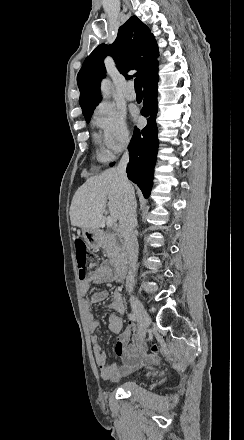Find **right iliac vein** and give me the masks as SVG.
I'll return each mask as SVG.
<instances>
[{
  "label": "right iliac vein",
  "instance_id": "63e3f726",
  "mask_svg": "<svg viewBox=\"0 0 244 440\" xmlns=\"http://www.w3.org/2000/svg\"><path fill=\"white\" fill-rule=\"evenodd\" d=\"M130 303H131V307H132L133 312L138 317L139 325H138L137 340L142 341L145 339L146 332H147V325L149 323H151V318L149 317V315L147 314L146 310L144 309L142 303L140 302V300L137 297L131 296Z\"/></svg>",
  "mask_w": 244,
  "mask_h": 440
}]
</instances>
